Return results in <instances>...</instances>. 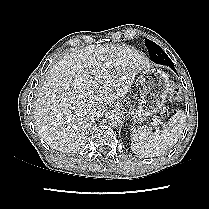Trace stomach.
I'll return each mask as SVG.
<instances>
[{
  "instance_id": "obj_1",
  "label": "stomach",
  "mask_w": 209,
  "mask_h": 209,
  "mask_svg": "<svg viewBox=\"0 0 209 209\" xmlns=\"http://www.w3.org/2000/svg\"><path fill=\"white\" fill-rule=\"evenodd\" d=\"M139 81L142 86L138 104L130 108L131 114L138 121L156 115L167 102L170 93L168 75L160 69L144 68L140 72Z\"/></svg>"
}]
</instances>
